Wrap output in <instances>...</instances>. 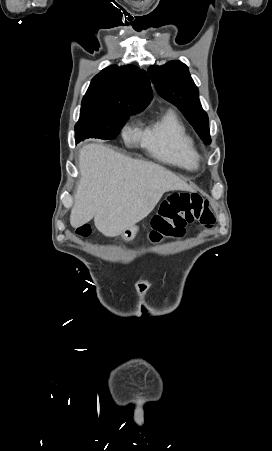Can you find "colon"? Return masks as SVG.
<instances>
[{
	"label": "colon",
	"instance_id": "obj_1",
	"mask_svg": "<svg viewBox=\"0 0 272 451\" xmlns=\"http://www.w3.org/2000/svg\"><path fill=\"white\" fill-rule=\"evenodd\" d=\"M215 220L206 197L196 192L175 193L163 203L159 215L153 217L150 238L153 242H158L165 236L178 238L181 236V227L199 224L205 228H211ZM77 233L87 238L90 236V229L88 226H80Z\"/></svg>",
	"mask_w": 272,
	"mask_h": 451
}]
</instances>
